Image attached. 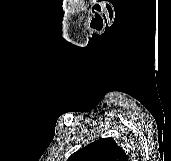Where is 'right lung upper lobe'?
I'll use <instances>...</instances> for the list:
<instances>
[{
    "instance_id": "obj_1",
    "label": "right lung upper lobe",
    "mask_w": 171,
    "mask_h": 161,
    "mask_svg": "<svg viewBox=\"0 0 171 161\" xmlns=\"http://www.w3.org/2000/svg\"><path fill=\"white\" fill-rule=\"evenodd\" d=\"M67 161H128L113 138H102L72 154Z\"/></svg>"
}]
</instances>
